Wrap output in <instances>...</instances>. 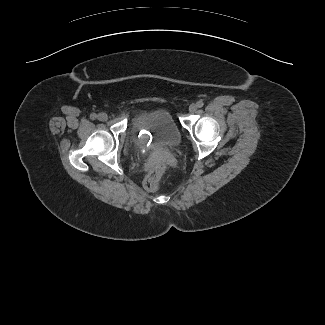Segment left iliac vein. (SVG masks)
<instances>
[{
  "mask_svg": "<svg viewBox=\"0 0 325 325\" xmlns=\"http://www.w3.org/2000/svg\"><path fill=\"white\" fill-rule=\"evenodd\" d=\"M196 110H197V105H196V104H191V105L189 106V112H190V113H195Z\"/></svg>",
  "mask_w": 325,
  "mask_h": 325,
  "instance_id": "1",
  "label": "left iliac vein"
}]
</instances>
